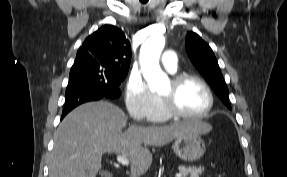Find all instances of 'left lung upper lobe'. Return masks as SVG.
I'll return each mask as SVG.
<instances>
[{"label":"left lung upper lobe","instance_id":"1","mask_svg":"<svg viewBox=\"0 0 287 177\" xmlns=\"http://www.w3.org/2000/svg\"><path fill=\"white\" fill-rule=\"evenodd\" d=\"M185 47L194 66L211 85L221 101L231 109L228 88L210 46L198 34L191 31L187 33Z\"/></svg>","mask_w":287,"mask_h":177}]
</instances>
